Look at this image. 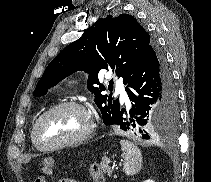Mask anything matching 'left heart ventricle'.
<instances>
[{"mask_svg":"<svg viewBox=\"0 0 211 182\" xmlns=\"http://www.w3.org/2000/svg\"><path fill=\"white\" fill-rule=\"evenodd\" d=\"M86 115L75 108H62L47 116L39 125L37 137L41 145L65 141L84 132Z\"/></svg>","mask_w":211,"mask_h":182,"instance_id":"1","label":"left heart ventricle"}]
</instances>
